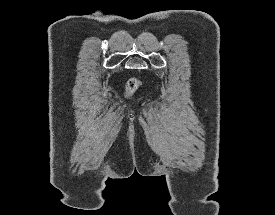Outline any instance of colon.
<instances>
[{
    "instance_id": "colon-1",
    "label": "colon",
    "mask_w": 275,
    "mask_h": 215,
    "mask_svg": "<svg viewBox=\"0 0 275 215\" xmlns=\"http://www.w3.org/2000/svg\"><path fill=\"white\" fill-rule=\"evenodd\" d=\"M139 81L137 79H130L126 84V92L128 94H133L139 89Z\"/></svg>"
}]
</instances>
